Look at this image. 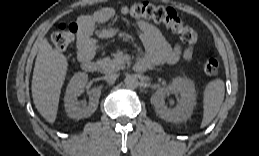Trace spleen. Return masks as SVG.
<instances>
[{
	"instance_id": "3e777b00",
	"label": "spleen",
	"mask_w": 259,
	"mask_h": 156,
	"mask_svg": "<svg viewBox=\"0 0 259 156\" xmlns=\"http://www.w3.org/2000/svg\"><path fill=\"white\" fill-rule=\"evenodd\" d=\"M225 95V84L222 79L210 81L203 92V119L201 127L208 125L218 114Z\"/></svg>"
}]
</instances>
